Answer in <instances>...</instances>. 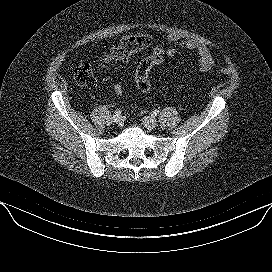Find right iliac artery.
I'll list each match as a JSON object with an SVG mask.
<instances>
[{
  "label": "right iliac artery",
  "instance_id": "right-iliac-artery-1",
  "mask_svg": "<svg viewBox=\"0 0 272 272\" xmlns=\"http://www.w3.org/2000/svg\"><path fill=\"white\" fill-rule=\"evenodd\" d=\"M121 113H122V111H121L120 109H117V110L115 111V115H117V116H120Z\"/></svg>",
  "mask_w": 272,
  "mask_h": 272
}]
</instances>
